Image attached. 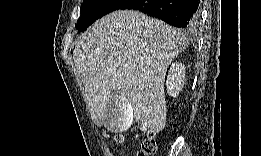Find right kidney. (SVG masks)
<instances>
[{
    "label": "right kidney",
    "mask_w": 261,
    "mask_h": 156,
    "mask_svg": "<svg viewBox=\"0 0 261 156\" xmlns=\"http://www.w3.org/2000/svg\"><path fill=\"white\" fill-rule=\"evenodd\" d=\"M185 70L186 67L182 63L176 62L171 65L166 81L167 92L170 96L176 97L181 91L185 80Z\"/></svg>",
    "instance_id": "1"
}]
</instances>
